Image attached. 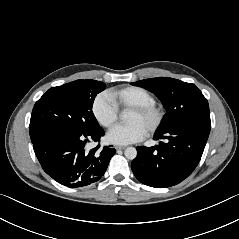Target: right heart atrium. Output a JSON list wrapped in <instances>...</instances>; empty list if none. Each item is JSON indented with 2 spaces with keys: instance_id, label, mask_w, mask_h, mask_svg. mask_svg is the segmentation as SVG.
<instances>
[{
  "instance_id": "d8ad5b80",
  "label": "right heart atrium",
  "mask_w": 239,
  "mask_h": 239,
  "mask_svg": "<svg viewBox=\"0 0 239 239\" xmlns=\"http://www.w3.org/2000/svg\"><path fill=\"white\" fill-rule=\"evenodd\" d=\"M96 121L105 128H111L118 120L119 110L107 93L98 94L91 106Z\"/></svg>"
}]
</instances>
